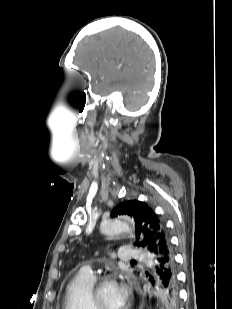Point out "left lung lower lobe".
Segmentation results:
<instances>
[{
  "label": "left lung lower lobe",
  "mask_w": 232,
  "mask_h": 309,
  "mask_svg": "<svg viewBox=\"0 0 232 309\" xmlns=\"http://www.w3.org/2000/svg\"><path fill=\"white\" fill-rule=\"evenodd\" d=\"M152 271L153 275H150L148 280L162 294L165 308L177 309L176 267L169 239L160 241L152 258Z\"/></svg>",
  "instance_id": "left-lung-lower-lobe-1"
}]
</instances>
